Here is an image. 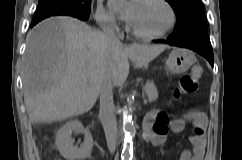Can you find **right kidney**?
<instances>
[{"mask_svg": "<svg viewBox=\"0 0 242 160\" xmlns=\"http://www.w3.org/2000/svg\"><path fill=\"white\" fill-rule=\"evenodd\" d=\"M83 133L84 142L78 148L74 147V140L72 133ZM56 146L58 147L61 155L68 160H82L91 154L93 147V138L89 131L85 130L82 123L75 120L67 122L57 132Z\"/></svg>", "mask_w": 242, "mask_h": 160, "instance_id": "ca27d5eb", "label": "right kidney"}]
</instances>
